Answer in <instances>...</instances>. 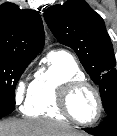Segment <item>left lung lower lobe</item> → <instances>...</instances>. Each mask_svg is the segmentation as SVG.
I'll return each mask as SVG.
<instances>
[{
    "label": "left lung lower lobe",
    "instance_id": "left-lung-lower-lobe-1",
    "mask_svg": "<svg viewBox=\"0 0 117 136\" xmlns=\"http://www.w3.org/2000/svg\"><path fill=\"white\" fill-rule=\"evenodd\" d=\"M84 130L95 136H117V110L108 115L106 120L95 128H84Z\"/></svg>",
    "mask_w": 117,
    "mask_h": 136
}]
</instances>
